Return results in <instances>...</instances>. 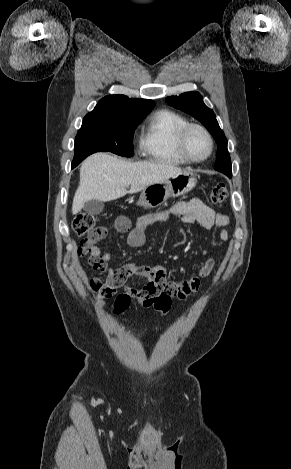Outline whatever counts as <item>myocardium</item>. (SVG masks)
<instances>
[{"label":"myocardium","instance_id":"1","mask_svg":"<svg viewBox=\"0 0 291 469\" xmlns=\"http://www.w3.org/2000/svg\"><path fill=\"white\" fill-rule=\"evenodd\" d=\"M193 129H199L200 131H202L208 141H209V151L208 153L201 157V158H195L193 157L192 155H190V153L188 152L187 150V137L190 133L191 130ZM177 149H178V152L179 154L187 161V162H190V163H201V162H204L205 160H207L213 153L214 151V139L211 135V133L209 132V130L204 127L203 125L201 124H198V123H187L186 125H184L183 127H181L177 133Z\"/></svg>","mask_w":291,"mask_h":469}]
</instances>
